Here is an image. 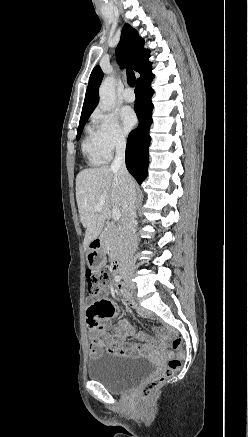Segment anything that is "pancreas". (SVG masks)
<instances>
[{
    "label": "pancreas",
    "mask_w": 248,
    "mask_h": 437,
    "mask_svg": "<svg viewBox=\"0 0 248 437\" xmlns=\"http://www.w3.org/2000/svg\"><path fill=\"white\" fill-rule=\"evenodd\" d=\"M104 244L110 249V258L116 257L122 246V235L120 226L111 224L103 232Z\"/></svg>",
    "instance_id": "1"
}]
</instances>
